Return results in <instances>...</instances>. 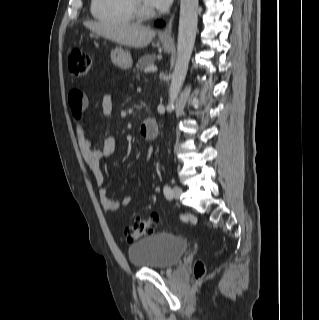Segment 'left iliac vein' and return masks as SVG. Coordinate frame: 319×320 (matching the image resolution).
Returning a JSON list of instances; mask_svg holds the SVG:
<instances>
[{
	"instance_id": "4c4485c4",
	"label": "left iliac vein",
	"mask_w": 319,
	"mask_h": 320,
	"mask_svg": "<svg viewBox=\"0 0 319 320\" xmlns=\"http://www.w3.org/2000/svg\"><path fill=\"white\" fill-rule=\"evenodd\" d=\"M172 192H173V197L176 199H179L180 196L182 195V189L178 186H175Z\"/></svg>"
}]
</instances>
